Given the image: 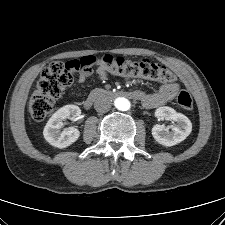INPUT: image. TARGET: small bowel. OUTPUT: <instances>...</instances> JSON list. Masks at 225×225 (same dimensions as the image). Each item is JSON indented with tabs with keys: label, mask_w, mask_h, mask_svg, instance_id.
Segmentation results:
<instances>
[{
	"label": "small bowel",
	"mask_w": 225,
	"mask_h": 225,
	"mask_svg": "<svg viewBox=\"0 0 225 225\" xmlns=\"http://www.w3.org/2000/svg\"><path fill=\"white\" fill-rule=\"evenodd\" d=\"M93 75L97 76L101 80H106L108 78V73L101 67L96 69L89 68L75 72V76L79 82H84ZM178 92L179 86L177 83H165L161 85L155 93L138 91V99L145 107L155 108L173 100Z\"/></svg>",
	"instance_id": "c3829d8e"
}]
</instances>
